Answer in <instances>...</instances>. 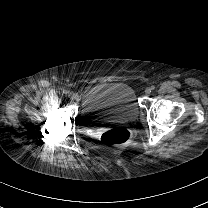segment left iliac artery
I'll return each instance as SVG.
<instances>
[{
  "instance_id": "44dca946",
  "label": "left iliac artery",
  "mask_w": 208,
  "mask_h": 208,
  "mask_svg": "<svg viewBox=\"0 0 208 208\" xmlns=\"http://www.w3.org/2000/svg\"><path fill=\"white\" fill-rule=\"evenodd\" d=\"M151 89L154 90V89H155V86L152 85V86H151Z\"/></svg>"
}]
</instances>
